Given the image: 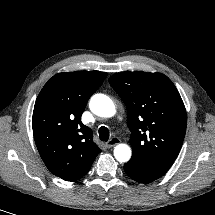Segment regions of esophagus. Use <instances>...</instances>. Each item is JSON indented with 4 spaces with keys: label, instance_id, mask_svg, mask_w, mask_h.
I'll return each mask as SVG.
<instances>
[{
    "label": "esophagus",
    "instance_id": "obj_1",
    "mask_svg": "<svg viewBox=\"0 0 215 215\" xmlns=\"http://www.w3.org/2000/svg\"><path fill=\"white\" fill-rule=\"evenodd\" d=\"M120 143V139L118 137H112L106 144L108 148H111Z\"/></svg>",
    "mask_w": 215,
    "mask_h": 215
}]
</instances>
